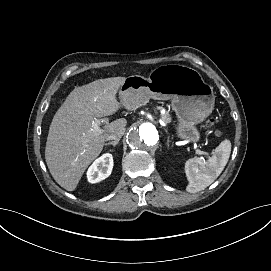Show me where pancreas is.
<instances>
[{
	"instance_id": "pancreas-1",
	"label": "pancreas",
	"mask_w": 271,
	"mask_h": 271,
	"mask_svg": "<svg viewBox=\"0 0 271 271\" xmlns=\"http://www.w3.org/2000/svg\"><path fill=\"white\" fill-rule=\"evenodd\" d=\"M165 121H166V122H169L170 120H169V118L166 117V118H165Z\"/></svg>"
}]
</instances>
